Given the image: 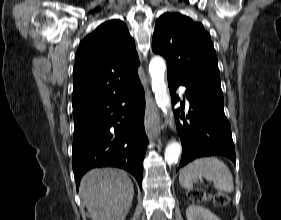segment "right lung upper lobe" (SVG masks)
I'll return each instance as SVG.
<instances>
[{"mask_svg":"<svg viewBox=\"0 0 281 220\" xmlns=\"http://www.w3.org/2000/svg\"><path fill=\"white\" fill-rule=\"evenodd\" d=\"M140 65L124 22L109 20L86 36L76 53L73 114L131 88Z\"/></svg>","mask_w":281,"mask_h":220,"instance_id":"1","label":"right lung upper lobe"}]
</instances>
